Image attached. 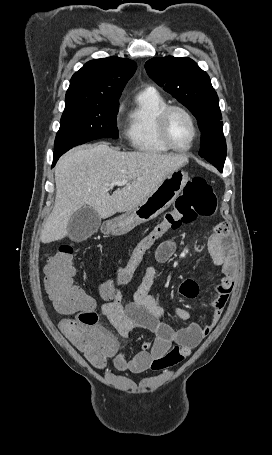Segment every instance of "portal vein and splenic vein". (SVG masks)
I'll return each mask as SVG.
<instances>
[{
	"label": "portal vein and splenic vein",
	"mask_w": 272,
	"mask_h": 455,
	"mask_svg": "<svg viewBox=\"0 0 272 455\" xmlns=\"http://www.w3.org/2000/svg\"><path fill=\"white\" fill-rule=\"evenodd\" d=\"M128 183V180H123V181H114V182H111L109 184L110 187H113V186H123V185H126Z\"/></svg>",
	"instance_id": "1"
}]
</instances>
